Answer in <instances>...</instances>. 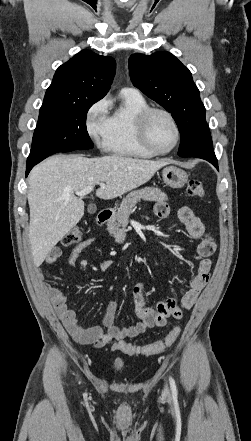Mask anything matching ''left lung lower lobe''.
<instances>
[{"instance_id": "1", "label": "left lung lower lobe", "mask_w": 251, "mask_h": 441, "mask_svg": "<svg viewBox=\"0 0 251 441\" xmlns=\"http://www.w3.org/2000/svg\"><path fill=\"white\" fill-rule=\"evenodd\" d=\"M184 150L178 152L181 157H198L212 163L218 169L210 131L207 124L197 125L192 133L183 135Z\"/></svg>"}]
</instances>
